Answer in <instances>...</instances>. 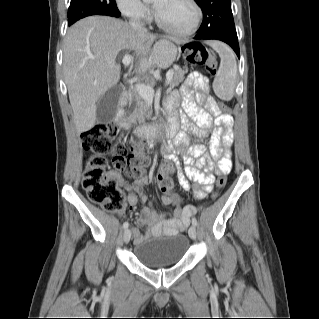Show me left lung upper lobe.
Returning a JSON list of instances; mask_svg holds the SVG:
<instances>
[{"instance_id": "5c2ea615", "label": "left lung upper lobe", "mask_w": 319, "mask_h": 319, "mask_svg": "<svg viewBox=\"0 0 319 319\" xmlns=\"http://www.w3.org/2000/svg\"><path fill=\"white\" fill-rule=\"evenodd\" d=\"M201 7L204 19L197 36L222 34L237 36L231 0H195Z\"/></svg>"}]
</instances>
